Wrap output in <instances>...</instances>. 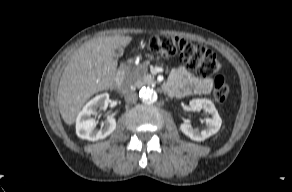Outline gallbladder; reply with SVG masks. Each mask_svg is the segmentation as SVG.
Here are the masks:
<instances>
[{"label": "gallbladder", "instance_id": "bac80fb5", "mask_svg": "<svg viewBox=\"0 0 292 192\" xmlns=\"http://www.w3.org/2000/svg\"><path fill=\"white\" fill-rule=\"evenodd\" d=\"M123 53H124V50L122 47H116L113 49V56L114 57H117V58L121 57L123 55Z\"/></svg>", "mask_w": 292, "mask_h": 192}]
</instances>
